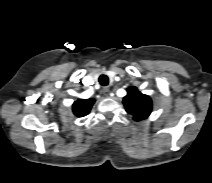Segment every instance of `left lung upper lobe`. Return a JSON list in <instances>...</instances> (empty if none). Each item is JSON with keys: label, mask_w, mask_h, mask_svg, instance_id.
I'll use <instances>...</instances> for the list:
<instances>
[{"label": "left lung upper lobe", "mask_w": 212, "mask_h": 183, "mask_svg": "<svg viewBox=\"0 0 212 183\" xmlns=\"http://www.w3.org/2000/svg\"><path fill=\"white\" fill-rule=\"evenodd\" d=\"M127 91L128 94L123 99L126 111L136 121L146 119L152 111L151 98L139 92L136 87H130Z\"/></svg>", "instance_id": "5c2ea615"}]
</instances>
